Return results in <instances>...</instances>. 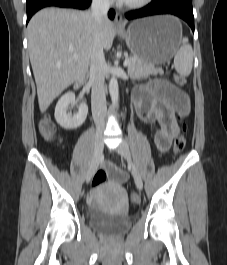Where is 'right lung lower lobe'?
Here are the masks:
<instances>
[{"label": "right lung lower lobe", "instance_id": "obj_1", "mask_svg": "<svg viewBox=\"0 0 227 265\" xmlns=\"http://www.w3.org/2000/svg\"><path fill=\"white\" fill-rule=\"evenodd\" d=\"M91 3V0H26L27 6V22L30 20L32 15L38 10L49 7V6H57V7H66V8H78L85 9ZM114 11L111 10L108 13L109 18H114Z\"/></svg>", "mask_w": 227, "mask_h": 265}]
</instances>
